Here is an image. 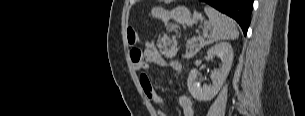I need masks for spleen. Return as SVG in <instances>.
<instances>
[{"label":"spleen","instance_id":"1","mask_svg":"<svg viewBox=\"0 0 305 116\" xmlns=\"http://www.w3.org/2000/svg\"><path fill=\"white\" fill-rule=\"evenodd\" d=\"M204 11L209 18L210 25V34L206 36L205 44H212L223 40H234L239 37V31L233 19L210 6H206Z\"/></svg>","mask_w":305,"mask_h":116}]
</instances>
